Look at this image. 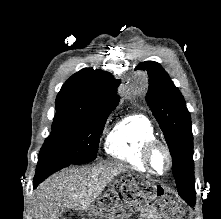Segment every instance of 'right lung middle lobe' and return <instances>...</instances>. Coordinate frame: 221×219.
Masks as SVG:
<instances>
[{"mask_svg":"<svg viewBox=\"0 0 221 219\" xmlns=\"http://www.w3.org/2000/svg\"><path fill=\"white\" fill-rule=\"evenodd\" d=\"M109 114L85 117L57 112L38 160L56 159L69 164L93 161Z\"/></svg>","mask_w":221,"mask_h":219,"instance_id":"dd1d6c3e","label":"right lung middle lobe"}]
</instances>
